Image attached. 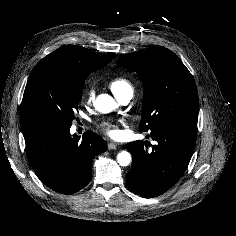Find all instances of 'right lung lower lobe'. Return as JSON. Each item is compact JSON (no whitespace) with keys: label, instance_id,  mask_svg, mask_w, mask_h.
Segmentation results:
<instances>
[{"label":"right lung lower lobe","instance_id":"98d812e1","mask_svg":"<svg viewBox=\"0 0 236 236\" xmlns=\"http://www.w3.org/2000/svg\"><path fill=\"white\" fill-rule=\"evenodd\" d=\"M28 160L39 179L52 190L70 195L91 180L93 158L107 150L96 133L82 140L69 129L40 128L23 133Z\"/></svg>","mask_w":236,"mask_h":236}]
</instances>
